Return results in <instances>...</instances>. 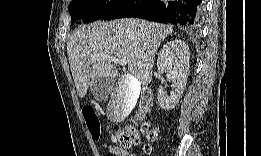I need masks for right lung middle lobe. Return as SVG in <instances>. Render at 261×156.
<instances>
[{
  "instance_id": "obj_1",
  "label": "right lung middle lobe",
  "mask_w": 261,
  "mask_h": 156,
  "mask_svg": "<svg viewBox=\"0 0 261 156\" xmlns=\"http://www.w3.org/2000/svg\"><path fill=\"white\" fill-rule=\"evenodd\" d=\"M119 0H73L69 5L72 22L81 19L83 22L99 20Z\"/></svg>"
}]
</instances>
